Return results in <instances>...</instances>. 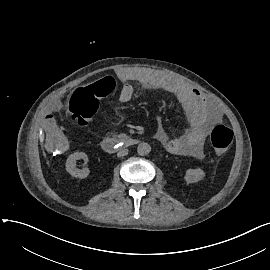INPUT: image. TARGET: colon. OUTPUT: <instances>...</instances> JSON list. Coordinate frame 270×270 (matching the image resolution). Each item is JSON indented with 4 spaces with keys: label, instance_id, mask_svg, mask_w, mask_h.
Listing matches in <instances>:
<instances>
[{
    "label": "colon",
    "instance_id": "colon-1",
    "mask_svg": "<svg viewBox=\"0 0 270 270\" xmlns=\"http://www.w3.org/2000/svg\"><path fill=\"white\" fill-rule=\"evenodd\" d=\"M113 85V78L105 76L101 82L77 88L69 100L71 120L80 126L89 124L98 111L100 99L111 94ZM210 139L214 155L222 157L233 142V131L219 124L211 131Z\"/></svg>",
    "mask_w": 270,
    "mask_h": 270
}]
</instances>
